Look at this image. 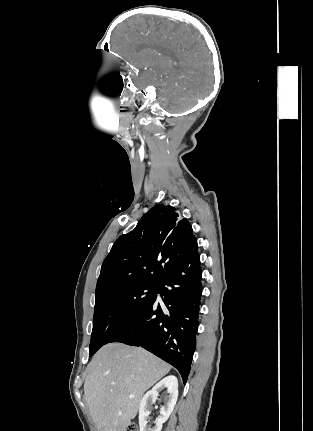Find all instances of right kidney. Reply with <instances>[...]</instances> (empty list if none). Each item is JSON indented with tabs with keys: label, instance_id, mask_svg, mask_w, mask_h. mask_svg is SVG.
I'll use <instances>...</instances> for the list:
<instances>
[{
	"label": "right kidney",
	"instance_id": "right-kidney-1",
	"mask_svg": "<svg viewBox=\"0 0 313 431\" xmlns=\"http://www.w3.org/2000/svg\"><path fill=\"white\" fill-rule=\"evenodd\" d=\"M166 390L164 397L165 405L160 409V415L156 419L155 425L148 426L147 418L150 415V408L155 403L160 391ZM178 398V380L170 375L158 382L152 390L148 391L142 398L139 407V427L140 431H161L162 425L172 413Z\"/></svg>",
	"mask_w": 313,
	"mask_h": 431
}]
</instances>
